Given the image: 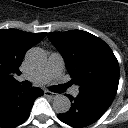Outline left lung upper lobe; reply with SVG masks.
<instances>
[{"mask_svg":"<svg viewBox=\"0 0 128 128\" xmlns=\"http://www.w3.org/2000/svg\"><path fill=\"white\" fill-rule=\"evenodd\" d=\"M47 36L62 54L71 82L79 85V91L117 92L118 61L103 40L81 30L48 33Z\"/></svg>","mask_w":128,"mask_h":128,"instance_id":"left-lung-upper-lobe-1","label":"left lung upper lobe"}]
</instances>
